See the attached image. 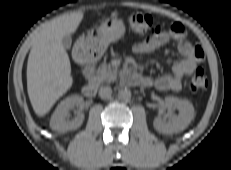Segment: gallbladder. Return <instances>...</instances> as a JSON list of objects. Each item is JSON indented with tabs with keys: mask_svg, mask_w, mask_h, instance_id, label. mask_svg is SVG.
<instances>
[{
	"mask_svg": "<svg viewBox=\"0 0 231 170\" xmlns=\"http://www.w3.org/2000/svg\"><path fill=\"white\" fill-rule=\"evenodd\" d=\"M62 45L65 49H70L72 45V39L69 35H66L62 39Z\"/></svg>",
	"mask_w": 231,
	"mask_h": 170,
	"instance_id": "gallbladder-1",
	"label": "gallbladder"
}]
</instances>
